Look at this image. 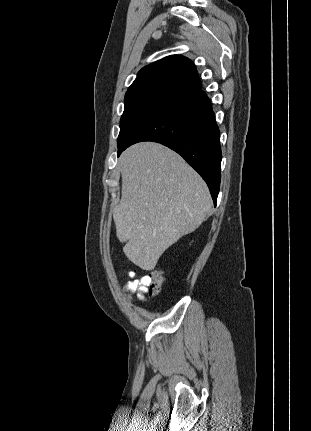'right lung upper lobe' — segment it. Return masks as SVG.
I'll return each instance as SVG.
<instances>
[{
    "label": "right lung upper lobe",
    "instance_id": "cb5924a9",
    "mask_svg": "<svg viewBox=\"0 0 311 431\" xmlns=\"http://www.w3.org/2000/svg\"><path fill=\"white\" fill-rule=\"evenodd\" d=\"M157 89L180 97L202 89L195 65L186 57H165L142 68L126 93Z\"/></svg>",
    "mask_w": 311,
    "mask_h": 431
}]
</instances>
